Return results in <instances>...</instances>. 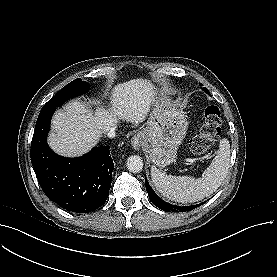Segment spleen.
I'll return each mask as SVG.
<instances>
[{
    "instance_id": "1",
    "label": "spleen",
    "mask_w": 277,
    "mask_h": 277,
    "mask_svg": "<svg viewBox=\"0 0 277 277\" xmlns=\"http://www.w3.org/2000/svg\"><path fill=\"white\" fill-rule=\"evenodd\" d=\"M230 144L226 138L220 140L215 158L200 178L191 176H173L151 167L152 183L166 198L187 203L208 197L222 184L229 173Z\"/></svg>"
}]
</instances>
